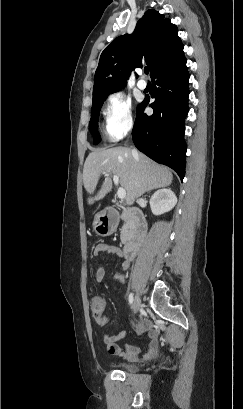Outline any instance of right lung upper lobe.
Here are the masks:
<instances>
[{"mask_svg":"<svg viewBox=\"0 0 243 409\" xmlns=\"http://www.w3.org/2000/svg\"><path fill=\"white\" fill-rule=\"evenodd\" d=\"M182 45L177 26L158 11L147 10L131 35L117 37L102 52L94 77L93 101L121 90L131 70L142 63L149 66L152 77Z\"/></svg>","mask_w":243,"mask_h":409,"instance_id":"1","label":"right lung upper lobe"}]
</instances>
